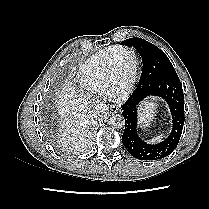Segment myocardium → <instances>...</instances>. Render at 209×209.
Here are the masks:
<instances>
[{"label":"myocardium","mask_w":209,"mask_h":209,"mask_svg":"<svg viewBox=\"0 0 209 209\" xmlns=\"http://www.w3.org/2000/svg\"><path fill=\"white\" fill-rule=\"evenodd\" d=\"M128 51L133 55V72L128 83L122 88H116L113 84V72H114V62L115 57L118 53ZM138 76V61L134 49L127 46H119L111 54L108 61L106 72H105V81H104V90L105 94L114 100H123L126 99L133 91L136 80Z\"/></svg>","instance_id":"obj_1"}]
</instances>
